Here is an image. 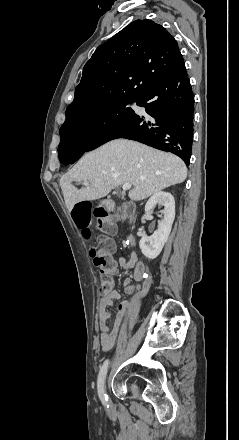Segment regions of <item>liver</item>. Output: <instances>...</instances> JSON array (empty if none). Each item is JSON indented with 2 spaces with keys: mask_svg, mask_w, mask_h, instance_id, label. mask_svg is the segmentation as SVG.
Masks as SVG:
<instances>
[{
  "mask_svg": "<svg viewBox=\"0 0 239 440\" xmlns=\"http://www.w3.org/2000/svg\"><path fill=\"white\" fill-rule=\"evenodd\" d=\"M145 176L146 180H140ZM187 168L178 156L154 150L132 140H112L85 154L60 180L67 210L83 200L105 198L112 188L132 184L130 200H145L169 186L181 184ZM71 182H86L77 190Z\"/></svg>",
  "mask_w": 239,
  "mask_h": 440,
  "instance_id": "1",
  "label": "liver"
}]
</instances>
